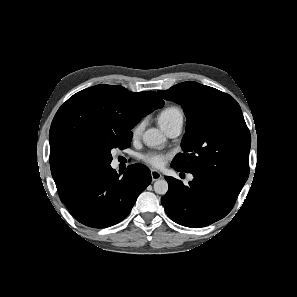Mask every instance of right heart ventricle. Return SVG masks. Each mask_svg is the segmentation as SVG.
<instances>
[{
  "instance_id": "e07e8e85",
  "label": "right heart ventricle",
  "mask_w": 297,
  "mask_h": 297,
  "mask_svg": "<svg viewBox=\"0 0 297 297\" xmlns=\"http://www.w3.org/2000/svg\"><path fill=\"white\" fill-rule=\"evenodd\" d=\"M160 126L166 130L176 122H183V113L177 106H169L163 109L158 115Z\"/></svg>"
}]
</instances>
